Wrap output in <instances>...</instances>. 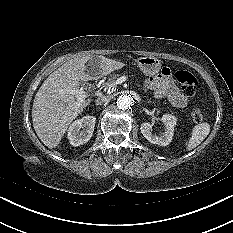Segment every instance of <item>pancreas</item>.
<instances>
[{
	"mask_svg": "<svg viewBox=\"0 0 233 233\" xmlns=\"http://www.w3.org/2000/svg\"><path fill=\"white\" fill-rule=\"evenodd\" d=\"M117 77H118L117 75H112L110 78H108V81L104 84L103 87L106 88L108 85L114 83L116 81Z\"/></svg>",
	"mask_w": 233,
	"mask_h": 233,
	"instance_id": "1",
	"label": "pancreas"
}]
</instances>
